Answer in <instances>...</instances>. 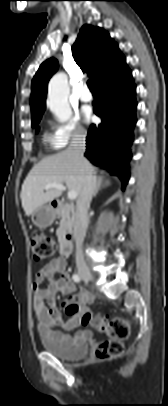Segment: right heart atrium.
Returning a JSON list of instances; mask_svg holds the SVG:
<instances>
[{"label":"right heart atrium","mask_w":168,"mask_h":406,"mask_svg":"<svg viewBox=\"0 0 168 406\" xmlns=\"http://www.w3.org/2000/svg\"><path fill=\"white\" fill-rule=\"evenodd\" d=\"M54 140L59 148L68 144L85 139L87 132L77 118L54 124Z\"/></svg>","instance_id":"obj_1"}]
</instances>
